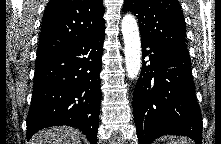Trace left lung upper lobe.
<instances>
[{
	"mask_svg": "<svg viewBox=\"0 0 221 144\" xmlns=\"http://www.w3.org/2000/svg\"><path fill=\"white\" fill-rule=\"evenodd\" d=\"M123 11L137 16L141 38L188 52L186 23L178 0H125Z\"/></svg>",
	"mask_w": 221,
	"mask_h": 144,
	"instance_id": "5c2ea615",
	"label": "left lung upper lobe"
}]
</instances>
